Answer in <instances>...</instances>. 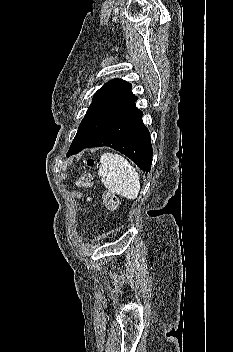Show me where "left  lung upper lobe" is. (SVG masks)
Here are the masks:
<instances>
[{"label": "left lung upper lobe", "instance_id": "left-lung-upper-lobe-1", "mask_svg": "<svg viewBox=\"0 0 233 352\" xmlns=\"http://www.w3.org/2000/svg\"><path fill=\"white\" fill-rule=\"evenodd\" d=\"M136 100L137 96L131 92V85L128 82L114 79L104 84L93 96V101L79 125L67 154L75 153L121 118L137 109Z\"/></svg>", "mask_w": 233, "mask_h": 352}]
</instances>
